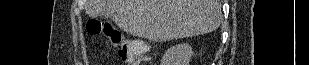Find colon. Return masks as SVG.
<instances>
[{"mask_svg":"<svg viewBox=\"0 0 309 65\" xmlns=\"http://www.w3.org/2000/svg\"><path fill=\"white\" fill-rule=\"evenodd\" d=\"M87 30L92 35L109 39L117 50L120 60L126 65H136L144 58L146 47L141 40L126 39L105 22L96 19L90 20L87 23Z\"/></svg>","mask_w":309,"mask_h":65,"instance_id":"5ec220e1","label":"colon"}]
</instances>
